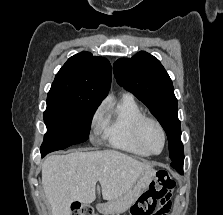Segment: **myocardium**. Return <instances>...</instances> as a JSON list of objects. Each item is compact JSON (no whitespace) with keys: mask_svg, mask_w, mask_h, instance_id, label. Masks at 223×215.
<instances>
[{"mask_svg":"<svg viewBox=\"0 0 223 215\" xmlns=\"http://www.w3.org/2000/svg\"><path fill=\"white\" fill-rule=\"evenodd\" d=\"M146 123H153L154 125H156V127L160 131L161 138H162V145L158 152H148V151H145L142 147V130ZM135 139H136L137 145L139 146V148L142 151V154L145 156L159 155L163 151V149L165 147V143H166L165 131H164L162 125L160 124V122L154 118L147 117V116H143L137 121L136 126H135Z\"/></svg>","mask_w":223,"mask_h":215,"instance_id":"1","label":"myocardium"}]
</instances>
